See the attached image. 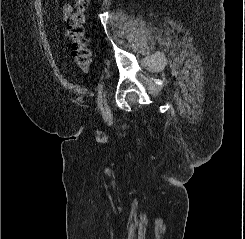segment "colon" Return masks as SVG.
Listing matches in <instances>:
<instances>
[{
  "instance_id": "obj_1",
  "label": "colon",
  "mask_w": 245,
  "mask_h": 239,
  "mask_svg": "<svg viewBox=\"0 0 245 239\" xmlns=\"http://www.w3.org/2000/svg\"><path fill=\"white\" fill-rule=\"evenodd\" d=\"M76 9L71 16L67 34L72 41L71 51L77 67L86 74L91 65V53L84 35V22L89 0H76Z\"/></svg>"
}]
</instances>
